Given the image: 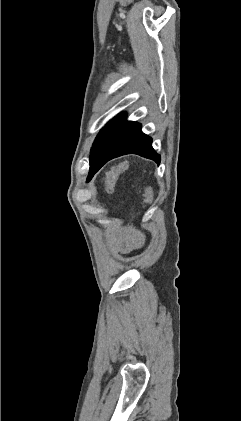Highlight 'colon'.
<instances>
[{
	"mask_svg": "<svg viewBox=\"0 0 241 421\" xmlns=\"http://www.w3.org/2000/svg\"><path fill=\"white\" fill-rule=\"evenodd\" d=\"M128 168V162L122 161L114 166L106 175L105 185L109 191H113L120 175ZM145 201L148 203L152 199V194L148 188L144 190Z\"/></svg>",
	"mask_w": 241,
	"mask_h": 421,
	"instance_id": "obj_1",
	"label": "colon"
}]
</instances>
